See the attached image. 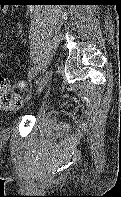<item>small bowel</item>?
<instances>
[{"label": "small bowel", "mask_w": 121, "mask_h": 197, "mask_svg": "<svg viewBox=\"0 0 121 197\" xmlns=\"http://www.w3.org/2000/svg\"><path fill=\"white\" fill-rule=\"evenodd\" d=\"M1 11L3 12V13H5L6 12V8L5 7H2L1 8ZM4 58V55L2 54V53H0V60H2Z\"/></svg>", "instance_id": "obj_1"}]
</instances>
